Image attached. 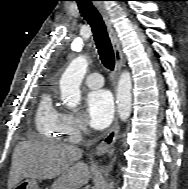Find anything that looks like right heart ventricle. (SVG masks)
I'll use <instances>...</instances> for the list:
<instances>
[{
  "instance_id": "obj_1",
  "label": "right heart ventricle",
  "mask_w": 188,
  "mask_h": 189,
  "mask_svg": "<svg viewBox=\"0 0 188 189\" xmlns=\"http://www.w3.org/2000/svg\"><path fill=\"white\" fill-rule=\"evenodd\" d=\"M35 126L40 135L51 140H61L67 133L64 114L53 103L50 93H44L38 103Z\"/></svg>"
}]
</instances>
